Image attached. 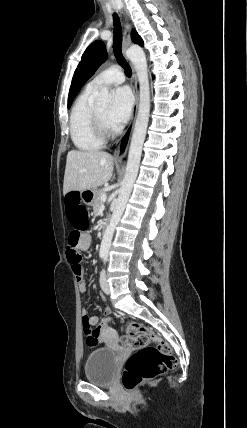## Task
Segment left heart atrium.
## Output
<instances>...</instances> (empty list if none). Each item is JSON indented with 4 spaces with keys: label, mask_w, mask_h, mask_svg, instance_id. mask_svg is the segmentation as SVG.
<instances>
[{
    "label": "left heart atrium",
    "mask_w": 247,
    "mask_h": 428,
    "mask_svg": "<svg viewBox=\"0 0 247 428\" xmlns=\"http://www.w3.org/2000/svg\"><path fill=\"white\" fill-rule=\"evenodd\" d=\"M133 98L128 88L121 87L114 91L112 103L106 114L110 128L122 127L130 117Z\"/></svg>",
    "instance_id": "1"
}]
</instances>
